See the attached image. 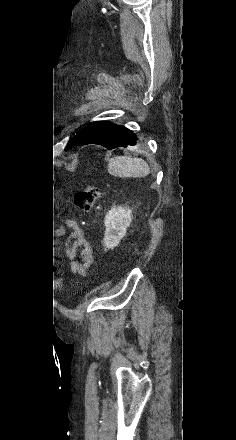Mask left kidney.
Wrapping results in <instances>:
<instances>
[{
	"label": "left kidney",
	"instance_id": "1",
	"mask_svg": "<svg viewBox=\"0 0 236 440\" xmlns=\"http://www.w3.org/2000/svg\"><path fill=\"white\" fill-rule=\"evenodd\" d=\"M132 221V210L129 207H114L105 216L104 246L113 249L118 246L126 235L127 228Z\"/></svg>",
	"mask_w": 236,
	"mask_h": 440
}]
</instances>
